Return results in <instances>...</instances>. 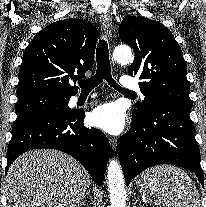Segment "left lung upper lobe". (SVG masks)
<instances>
[{
	"label": "left lung upper lobe",
	"instance_id": "left-lung-upper-lobe-1",
	"mask_svg": "<svg viewBox=\"0 0 206 207\" xmlns=\"http://www.w3.org/2000/svg\"><path fill=\"white\" fill-rule=\"evenodd\" d=\"M119 36L135 50L128 74L142 80L139 87L145 99L135 105L134 115H145L149 104L157 101L191 107L187 66L168 28L148 18L127 17L121 22Z\"/></svg>",
	"mask_w": 206,
	"mask_h": 207
}]
</instances>
